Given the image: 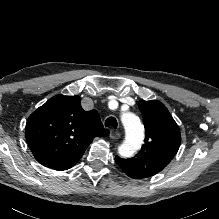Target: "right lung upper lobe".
<instances>
[{"mask_svg": "<svg viewBox=\"0 0 219 219\" xmlns=\"http://www.w3.org/2000/svg\"><path fill=\"white\" fill-rule=\"evenodd\" d=\"M26 140L43 166L63 171L73 167L96 137L108 136L96 110L85 111L79 96H54L33 112Z\"/></svg>", "mask_w": 219, "mask_h": 219, "instance_id": "obj_1", "label": "right lung upper lobe"}]
</instances>
